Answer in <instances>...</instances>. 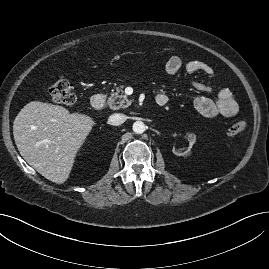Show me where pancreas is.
<instances>
[{"instance_id":"cf45deb5","label":"pancreas","mask_w":269,"mask_h":269,"mask_svg":"<svg viewBox=\"0 0 269 269\" xmlns=\"http://www.w3.org/2000/svg\"><path fill=\"white\" fill-rule=\"evenodd\" d=\"M123 87H117L115 91L112 92L109 100L107 101L108 105L113 110H118L120 108H126L131 105L132 101L123 94Z\"/></svg>"}]
</instances>
